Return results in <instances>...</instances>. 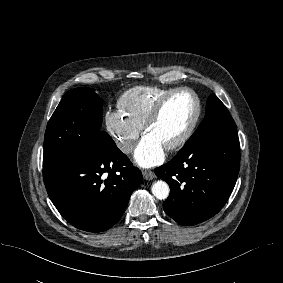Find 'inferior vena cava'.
<instances>
[{
  "mask_svg": "<svg viewBox=\"0 0 283 283\" xmlns=\"http://www.w3.org/2000/svg\"><path fill=\"white\" fill-rule=\"evenodd\" d=\"M119 147L122 151L126 152V153H130L133 150V144L127 141H124L122 143L119 144Z\"/></svg>",
  "mask_w": 283,
  "mask_h": 283,
  "instance_id": "obj_1",
  "label": "inferior vena cava"
}]
</instances>
